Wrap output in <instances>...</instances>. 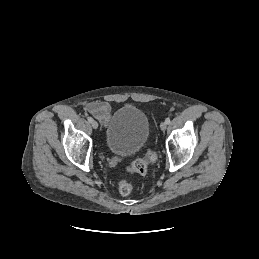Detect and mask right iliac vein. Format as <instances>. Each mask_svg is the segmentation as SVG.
<instances>
[{
    "label": "right iliac vein",
    "instance_id": "obj_1",
    "mask_svg": "<svg viewBox=\"0 0 259 259\" xmlns=\"http://www.w3.org/2000/svg\"><path fill=\"white\" fill-rule=\"evenodd\" d=\"M91 125L94 129H97L98 128V123L96 121H92L91 122Z\"/></svg>",
    "mask_w": 259,
    "mask_h": 259
}]
</instances>
